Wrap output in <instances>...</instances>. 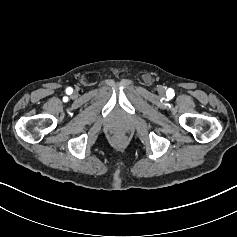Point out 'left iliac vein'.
Returning a JSON list of instances; mask_svg holds the SVG:
<instances>
[{
	"mask_svg": "<svg viewBox=\"0 0 237 237\" xmlns=\"http://www.w3.org/2000/svg\"><path fill=\"white\" fill-rule=\"evenodd\" d=\"M159 91H160L161 93H164V92H165V88H164L163 86H160V87H159Z\"/></svg>",
	"mask_w": 237,
	"mask_h": 237,
	"instance_id": "1",
	"label": "left iliac vein"
}]
</instances>
